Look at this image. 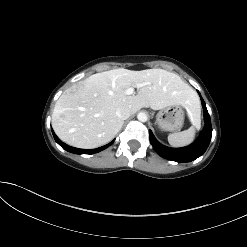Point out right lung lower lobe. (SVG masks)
Wrapping results in <instances>:
<instances>
[{
    "label": "right lung lower lobe",
    "instance_id": "1",
    "mask_svg": "<svg viewBox=\"0 0 247 247\" xmlns=\"http://www.w3.org/2000/svg\"><path fill=\"white\" fill-rule=\"evenodd\" d=\"M52 133H53V136H54V139L55 141L63 148L65 149L66 151H69L71 153H75V154H94V153H97V152H100L102 150H104L105 148H107L109 145H111L113 143V141H111L109 144L105 145V146H102V147H99V148H96V149H78V148H74V147H71V146H68L67 144L63 143L57 136L56 134L54 133V131L52 130Z\"/></svg>",
    "mask_w": 247,
    "mask_h": 247
}]
</instances>
